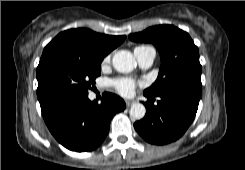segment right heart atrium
I'll return each mask as SVG.
<instances>
[{
  "label": "right heart atrium",
  "instance_id": "right-heart-atrium-1",
  "mask_svg": "<svg viewBox=\"0 0 245 170\" xmlns=\"http://www.w3.org/2000/svg\"><path fill=\"white\" fill-rule=\"evenodd\" d=\"M109 61V56L104 59V63H107Z\"/></svg>",
  "mask_w": 245,
  "mask_h": 170
}]
</instances>
